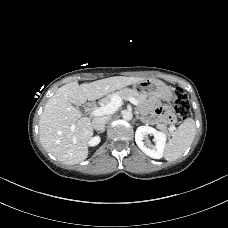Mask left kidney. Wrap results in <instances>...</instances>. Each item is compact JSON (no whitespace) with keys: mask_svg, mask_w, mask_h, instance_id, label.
I'll return each mask as SVG.
<instances>
[{"mask_svg":"<svg viewBox=\"0 0 228 228\" xmlns=\"http://www.w3.org/2000/svg\"><path fill=\"white\" fill-rule=\"evenodd\" d=\"M149 134L153 135L155 145H151L147 141H144ZM166 139L167 137L165 133L159 132L147 125L138 127L135 133V141L137 146L147 156L153 159H161L163 157Z\"/></svg>","mask_w":228,"mask_h":228,"instance_id":"1","label":"left kidney"}]
</instances>
